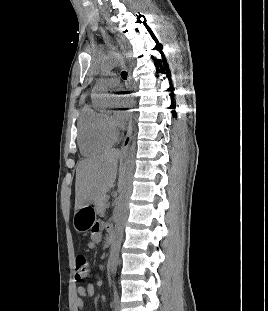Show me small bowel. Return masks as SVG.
<instances>
[{"mask_svg": "<svg viewBox=\"0 0 268 311\" xmlns=\"http://www.w3.org/2000/svg\"><path fill=\"white\" fill-rule=\"evenodd\" d=\"M102 234L98 226L93 227L92 233L90 236V240L87 242L86 246L88 249H95L97 244L101 241ZM95 293L94 286L90 283L87 284H79L76 288V296H75V306L78 310H83L85 305V299L92 297ZM105 301V297L101 296L102 304Z\"/></svg>", "mask_w": 268, "mask_h": 311, "instance_id": "c3829d8e", "label": "small bowel"}]
</instances>
